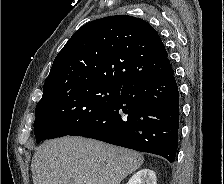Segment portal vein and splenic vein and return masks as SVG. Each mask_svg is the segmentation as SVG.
<instances>
[{"label": "portal vein and splenic vein", "mask_w": 224, "mask_h": 184, "mask_svg": "<svg viewBox=\"0 0 224 184\" xmlns=\"http://www.w3.org/2000/svg\"><path fill=\"white\" fill-rule=\"evenodd\" d=\"M86 184H92L91 182H87Z\"/></svg>", "instance_id": "1"}]
</instances>
